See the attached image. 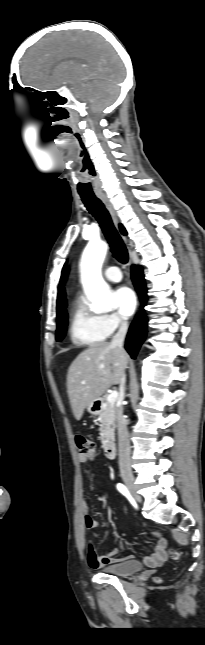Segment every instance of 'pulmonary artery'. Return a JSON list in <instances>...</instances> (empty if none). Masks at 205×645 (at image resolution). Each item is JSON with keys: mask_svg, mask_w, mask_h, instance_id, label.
Segmentation results:
<instances>
[{"mask_svg": "<svg viewBox=\"0 0 205 645\" xmlns=\"http://www.w3.org/2000/svg\"><path fill=\"white\" fill-rule=\"evenodd\" d=\"M105 277L112 282H119L122 279V273L116 266L107 268L104 272Z\"/></svg>", "mask_w": 205, "mask_h": 645, "instance_id": "e3ab8cb5", "label": "pulmonary artery"}]
</instances>
